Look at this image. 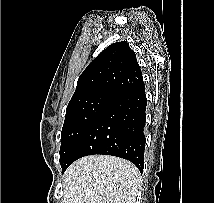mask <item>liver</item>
Returning a JSON list of instances; mask_svg holds the SVG:
<instances>
[{
	"mask_svg": "<svg viewBox=\"0 0 214 203\" xmlns=\"http://www.w3.org/2000/svg\"><path fill=\"white\" fill-rule=\"evenodd\" d=\"M63 187V203H135L140 174L127 160L86 156L66 170Z\"/></svg>",
	"mask_w": 214,
	"mask_h": 203,
	"instance_id": "liver-1",
	"label": "liver"
}]
</instances>
